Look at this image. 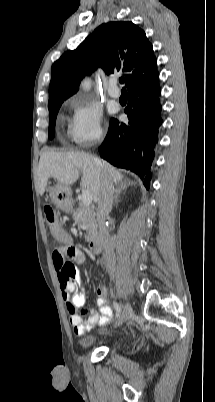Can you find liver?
I'll return each mask as SVG.
<instances>
[{"label":"liver","instance_id":"obj_1","mask_svg":"<svg viewBox=\"0 0 215 402\" xmlns=\"http://www.w3.org/2000/svg\"><path fill=\"white\" fill-rule=\"evenodd\" d=\"M102 171L107 173L111 182L119 183L123 179L114 166L88 153L45 151L38 166V193L41 196L44 194L49 178L70 186L82 172L80 186L89 190L92 199L97 201Z\"/></svg>","mask_w":215,"mask_h":402}]
</instances>
